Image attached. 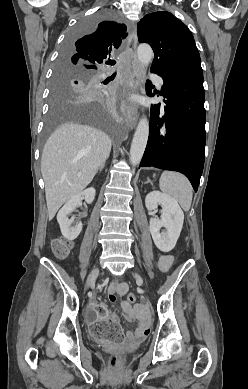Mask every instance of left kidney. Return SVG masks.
Wrapping results in <instances>:
<instances>
[{
  "label": "left kidney",
  "mask_w": 248,
  "mask_h": 389,
  "mask_svg": "<svg viewBox=\"0 0 248 389\" xmlns=\"http://www.w3.org/2000/svg\"><path fill=\"white\" fill-rule=\"evenodd\" d=\"M158 205L162 207V217L150 218L149 229L156 247L163 252H169L175 247L180 236L184 214L173 197L159 191L148 193L145 198L146 208L155 212ZM162 227L165 231L160 233Z\"/></svg>",
  "instance_id": "5707ae66"
}]
</instances>
